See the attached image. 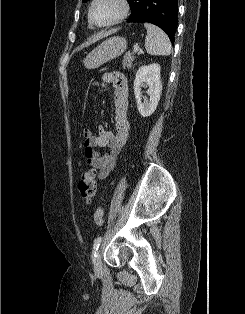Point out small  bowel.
Instances as JSON below:
<instances>
[{
	"label": "small bowel",
	"mask_w": 245,
	"mask_h": 314,
	"mask_svg": "<svg viewBox=\"0 0 245 314\" xmlns=\"http://www.w3.org/2000/svg\"><path fill=\"white\" fill-rule=\"evenodd\" d=\"M102 88L113 87L115 106L114 131L99 126L97 136L89 130L83 131V145L86 164L98 170L97 177L104 180L115 168L130 132L128 84L120 72H106L100 82H93ZM101 149H106L101 152Z\"/></svg>",
	"instance_id": "1"
}]
</instances>
